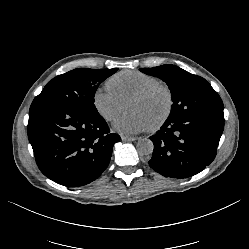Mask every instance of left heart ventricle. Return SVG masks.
Returning a JSON list of instances; mask_svg holds the SVG:
<instances>
[{
	"label": "left heart ventricle",
	"mask_w": 249,
	"mask_h": 249,
	"mask_svg": "<svg viewBox=\"0 0 249 249\" xmlns=\"http://www.w3.org/2000/svg\"><path fill=\"white\" fill-rule=\"evenodd\" d=\"M165 109L166 99L161 92H156L146 99L131 100L129 102V112L142 115L149 127L162 117Z\"/></svg>",
	"instance_id": "left-heart-ventricle-1"
}]
</instances>
